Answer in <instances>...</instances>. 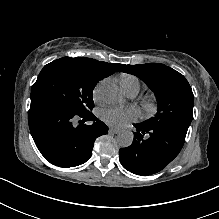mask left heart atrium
I'll use <instances>...</instances> for the list:
<instances>
[{
  "label": "left heart atrium",
  "instance_id": "obj_1",
  "mask_svg": "<svg viewBox=\"0 0 219 219\" xmlns=\"http://www.w3.org/2000/svg\"><path fill=\"white\" fill-rule=\"evenodd\" d=\"M139 117L137 109L134 107L129 108H113L104 112L103 118L109 125L122 128L126 125L136 121Z\"/></svg>",
  "mask_w": 219,
  "mask_h": 219
}]
</instances>
